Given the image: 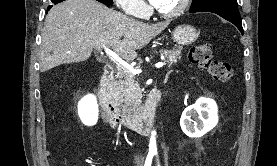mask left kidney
Returning <instances> with one entry per match:
<instances>
[{"label": "left kidney", "mask_w": 277, "mask_h": 166, "mask_svg": "<svg viewBox=\"0 0 277 166\" xmlns=\"http://www.w3.org/2000/svg\"><path fill=\"white\" fill-rule=\"evenodd\" d=\"M218 123V107L213 99L201 97L187 107L181 116L180 126L189 137L199 138Z\"/></svg>", "instance_id": "left-kidney-1"}]
</instances>
